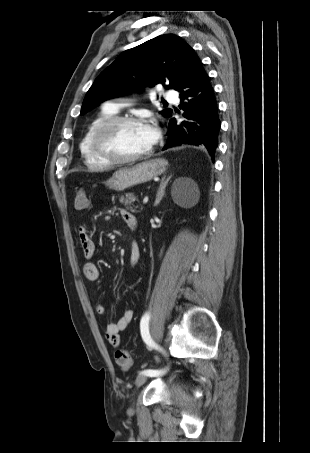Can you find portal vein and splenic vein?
Here are the masks:
<instances>
[{
  "mask_svg": "<svg viewBox=\"0 0 310 453\" xmlns=\"http://www.w3.org/2000/svg\"><path fill=\"white\" fill-rule=\"evenodd\" d=\"M147 202H148V197L146 196V197H144V199H143V204H147Z\"/></svg>",
  "mask_w": 310,
  "mask_h": 453,
  "instance_id": "portal-vein-and-splenic-vein-1",
  "label": "portal vein and splenic vein"
}]
</instances>
